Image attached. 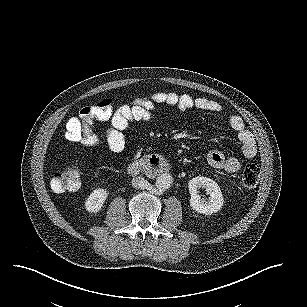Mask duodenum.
<instances>
[{
  "instance_id": "obj_1",
  "label": "duodenum",
  "mask_w": 307,
  "mask_h": 307,
  "mask_svg": "<svg viewBox=\"0 0 307 307\" xmlns=\"http://www.w3.org/2000/svg\"><path fill=\"white\" fill-rule=\"evenodd\" d=\"M169 170L168 162L162 157L150 155L141 159L131 161L127 171L132 176H146L154 178Z\"/></svg>"
}]
</instances>
